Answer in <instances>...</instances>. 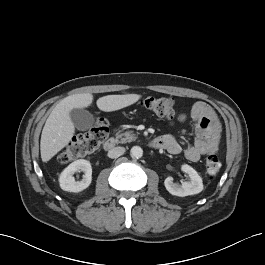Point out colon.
Segmentation results:
<instances>
[{
  "instance_id": "1",
  "label": "colon",
  "mask_w": 265,
  "mask_h": 265,
  "mask_svg": "<svg viewBox=\"0 0 265 265\" xmlns=\"http://www.w3.org/2000/svg\"><path fill=\"white\" fill-rule=\"evenodd\" d=\"M145 109L151 113L173 118L176 115L175 102L171 98L148 97L143 101ZM109 128L105 119L99 118L89 131L73 138L59 155L62 163L88 156L98 150L100 144L108 136ZM221 168V162L216 155H210L205 162V171L208 176H216Z\"/></svg>"
}]
</instances>
